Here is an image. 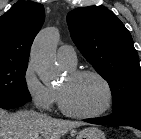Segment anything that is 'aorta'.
<instances>
[{"label": "aorta", "instance_id": "aorta-1", "mask_svg": "<svg viewBox=\"0 0 141 139\" xmlns=\"http://www.w3.org/2000/svg\"><path fill=\"white\" fill-rule=\"evenodd\" d=\"M59 39V30L56 27H47L39 32L31 47V64L44 84H49L58 77L55 50Z\"/></svg>", "mask_w": 141, "mask_h": 139}]
</instances>
